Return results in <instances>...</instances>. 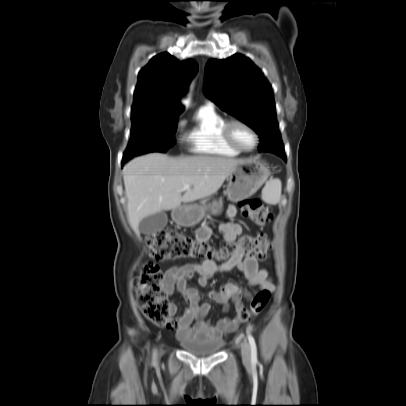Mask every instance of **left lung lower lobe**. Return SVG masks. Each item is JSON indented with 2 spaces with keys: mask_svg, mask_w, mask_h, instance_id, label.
I'll use <instances>...</instances> for the list:
<instances>
[{
  "mask_svg": "<svg viewBox=\"0 0 406 406\" xmlns=\"http://www.w3.org/2000/svg\"><path fill=\"white\" fill-rule=\"evenodd\" d=\"M282 157L284 158V160H286V155H283Z\"/></svg>",
  "mask_w": 406,
  "mask_h": 406,
  "instance_id": "obj_1",
  "label": "left lung lower lobe"
}]
</instances>
